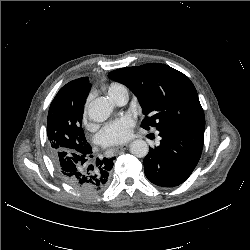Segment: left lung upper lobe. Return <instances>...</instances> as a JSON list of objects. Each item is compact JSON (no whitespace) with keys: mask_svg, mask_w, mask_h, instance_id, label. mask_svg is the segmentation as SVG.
Here are the masks:
<instances>
[{"mask_svg":"<svg viewBox=\"0 0 250 250\" xmlns=\"http://www.w3.org/2000/svg\"><path fill=\"white\" fill-rule=\"evenodd\" d=\"M108 76L126 85L138 98L145 118L141 127L158 131L205 128V116L190 79L159 63L126 67Z\"/></svg>","mask_w":250,"mask_h":250,"instance_id":"left-lung-upper-lobe-1","label":"left lung upper lobe"}]
</instances>
